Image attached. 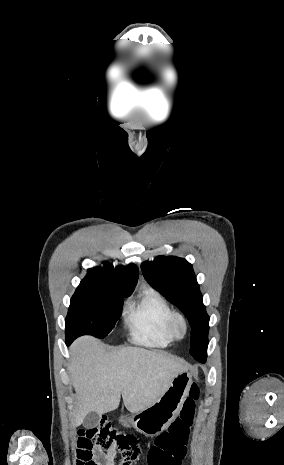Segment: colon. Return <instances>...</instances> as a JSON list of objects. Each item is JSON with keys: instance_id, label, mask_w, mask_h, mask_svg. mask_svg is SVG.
<instances>
[{"instance_id": "obj_1", "label": "colon", "mask_w": 284, "mask_h": 465, "mask_svg": "<svg viewBox=\"0 0 284 465\" xmlns=\"http://www.w3.org/2000/svg\"><path fill=\"white\" fill-rule=\"evenodd\" d=\"M201 396V386L194 381L189 388L185 404H182L178 414V421H172L165 437L158 435L156 442L161 446H150L147 457L148 465H180L187 454V440L191 437L194 414L191 413L196 401ZM118 448L125 461L122 465H129L128 460L137 459L141 454L140 440L134 434L118 432L109 422L84 427L77 432V445L75 451V465H99L92 459L94 448L101 450L110 447ZM84 451H89L86 453Z\"/></svg>"}]
</instances>
